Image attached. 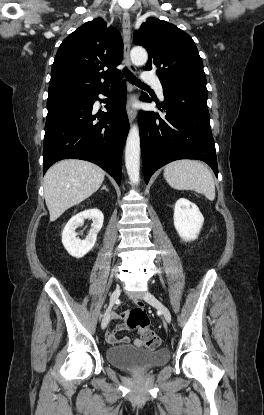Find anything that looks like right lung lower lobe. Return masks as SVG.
I'll return each mask as SVG.
<instances>
[{"label":"right lung lower lobe","instance_id":"98d812e1","mask_svg":"<svg viewBox=\"0 0 264 415\" xmlns=\"http://www.w3.org/2000/svg\"><path fill=\"white\" fill-rule=\"evenodd\" d=\"M125 89L122 82L102 114L95 115L92 108L98 94L106 95L108 88L47 104L43 173L59 160L81 159L99 165L120 185L122 150L129 131Z\"/></svg>","mask_w":264,"mask_h":415}]
</instances>
